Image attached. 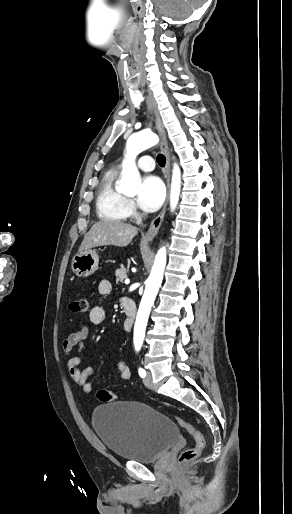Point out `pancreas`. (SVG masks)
Instances as JSON below:
<instances>
[{
  "label": "pancreas",
  "instance_id": "cf45deb5",
  "mask_svg": "<svg viewBox=\"0 0 292 514\" xmlns=\"http://www.w3.org/2000/svg\"><path fill=\"white\" fill-rule=\"evenodd\" d=\"M127 272H128V270H126V268H124L123 264H121L120 270H116V272H115L116 284H118V282H123V280H126Z\"/></svg>",
  "mask_w": 292,
  "mask_h": 514
}]
</instances>
